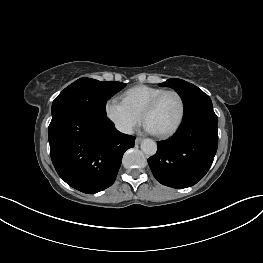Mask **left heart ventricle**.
I'll use <instances>...</instances> for the list:
<instances>
[{
  "mask_svg": "<svg viewBox=\"0 0 263 263\" xmlns=\"http://www.w3.org/2000/svg\"><path fill=\"white\" fill-rule=\"evenodd\" d=\"M181 111L180 101L175 94L165 95L157 107L147 116L146 123L156 133L171 129L177 122Z\"/></svg>",
  "mask_w": 263,
  "mask_h": 263,
  "instance_id": "left-heart-ventricle-1",
  "label": "left heart ventricle"
}]
</instances>
